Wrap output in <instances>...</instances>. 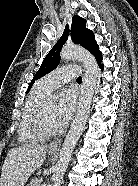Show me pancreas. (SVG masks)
<instances>
[{"label": "pancreas", "mask_w": 138, "mask_h": 186, "mask_svg": "<svg viewBox=\"0 0 138 186\" xmlns=\"http://www.w3.org/2000/svg\"><path fill=\"white\" fill-rule=\"evenodd\" d=\"M28 186H40L39 181L37 179H33Z\"/></svg>", "instance_id": "obj_1"}]
</instances>
